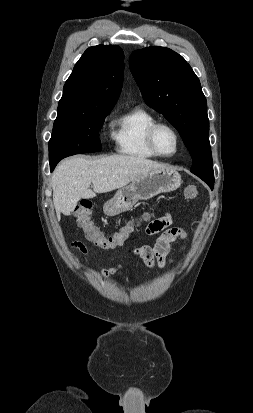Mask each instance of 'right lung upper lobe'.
I'll return each mask as SVG.
<instances>
[{"label": "right lung upper lobe", "instance_id": "1", "mask_svg": "<svg viewBox=\"0 0 253 413\" xmlns=\"http://www.w3.org/2000/svg\"><path fill=\"white\" fill-rule=\"evenodd\" d=\"M123 72L124 54L119 46L89 47L64 85L57 118L111 110L122 89Z\"/></svg>", "mask_w": 253, "mask_h": 413}]
</instances>
